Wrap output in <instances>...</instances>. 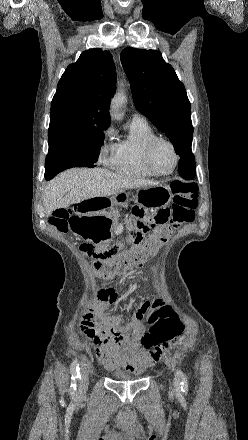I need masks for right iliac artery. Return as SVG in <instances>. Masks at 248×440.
Returning <instances> with one entry per match:
<instances>
[{
    "label": "right iliac artery",
    "mask_w": 248,
    "mask_h": 440,
    "mask_svg": "<svg viewBox=\"0 0 248 440\" xmlns=\"http://www.w3.org/2000/svg\"><path fill=\"white\" fill-rule=\"evenodd\" d=\"M70 369L72 376L69 392L71 396H74L76 394L77 381L81 379L79 362L77 359L72 362Z\"/></svg>",
    "instance_id": "right-iliac-artery-1"
}]
</instances>
